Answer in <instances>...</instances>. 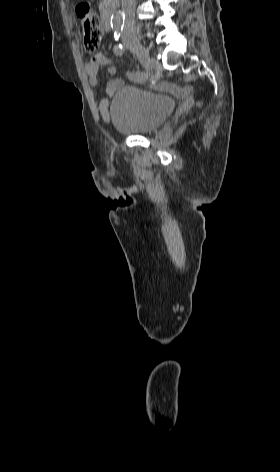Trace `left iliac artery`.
<instances>
[{"label":"left iliac artery","instance_id":"1","mask_svg":"<svg viewBox=\"0 0 280 472\" xmlns=\"http://www.w3.org/2000/svg\"><path fill=\"white\" fill-rule=\"evenodd\" d=\"M120 36H121V29L118 28V27L114 28V38H115V40L116 41L119 40Z\"/></svg>","mask_w":280,"mask_h":472}]
</instances>
